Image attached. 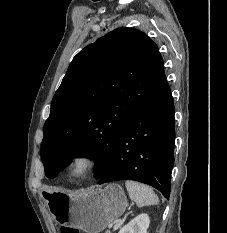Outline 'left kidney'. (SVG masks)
I'll list each match as a JSON object with an SVG mask.
<instances>
[{"instance_id": "left-kidney-1", "label": "left kidney", "mask_w": 227, "mask_h": 233, "mask_svg": "<svg viewBox=\"0 0 227 233\" xmlns=\"http://www.w3.org/2000/svg\"><path fill=\"white\" fill-rule=\"evenodd\" d=\"M150 219L147 214H140L122 227L119 233H148Z\"/></svg>"}]
</instances>
